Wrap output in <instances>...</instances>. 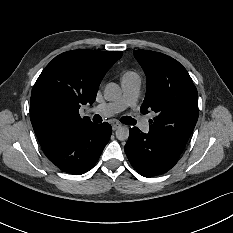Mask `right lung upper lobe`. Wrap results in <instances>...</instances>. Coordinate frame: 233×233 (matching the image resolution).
<instances>
[{
    "label": "right lung upper lobe",
    "mask_w": 233,
    "mask_h": 233,
    "mask_svg": "<svg viewBox=\"0 0 233 233\" xmlns=\"http://www.w3.org/2000/svg\"><path fill=\"white\" fill-rule=\"evenodd\" d=\"M122 52L73 50L55 57L38 77L31 94L30 119L40 144L93 124L79 115L92 104L101 80Z\"/></svg>",
    "instance_id": "cb5924a9"
}]
</instances>
